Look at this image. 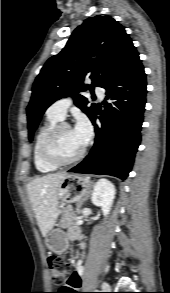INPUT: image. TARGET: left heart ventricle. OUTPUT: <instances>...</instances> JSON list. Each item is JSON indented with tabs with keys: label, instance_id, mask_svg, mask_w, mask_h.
Masks as SVG:
<instances>
[{
	"label": "left heart ventricle",
	"instance_id": "left-heart-ventricle-1",
	"mask_svg": "<svg viewBox=\"0 0 170 293\" xmlns=\"http://www.w3.org/2000/svg\"><path fill=\"white\" fill-rule=\"evenodd\" d=\"M83 145L71 128H63L56 136L53 152L61 159H69L78 154Z\"/></svg>",
	"mask_w": 170,
	"mask_h": 293
}]
</instances>
